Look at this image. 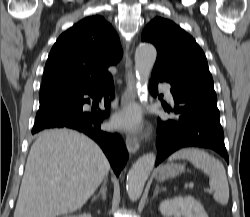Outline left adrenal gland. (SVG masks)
Wrapping results in <instances>:
<instances>
[{"mask_svg": "<svg viewBox=\"0 0 250 217\" xmlns=\"http://www.w3.org/2000/svg\"><path fill=\"white\" fill-rule=\"evenodd\" d=\"M166 188H160L158 185L155 188L154 194H153V198L157 196V194L161 191H165Z\"/></svg>", "mask_w": 250, "mask_h": 217, "instance_id": "left-adrenal-gland-1", "label": "left adrenal gland"}]
</instances>
